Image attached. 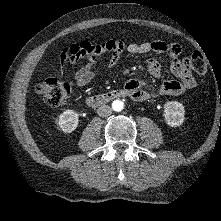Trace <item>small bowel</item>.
<instances>
[{
    "instance_id": "small-bowel-1",
    "label": "small bowel",
    "mask_w": 221,
    "mask_h": 221,
    "mask_svg": "<svg viewBox=\"0 0 221 221\" xmlns=\"http://www.w3.org/2000/svg\"><path fill=\"white\" fill-rule=\"evenodd\" d=\"M75 46L79 49V57L88 58V62L76 72L74 77L76 84L80 87L89 84L96 76L98 73L99 59L103 55L107 54L109 56L108 66L114 67L118 64L124 50L131 54H147L150 52L167 53L171 58L170 70L176 77V80L162 82L154 91L147 89L146 82L131 79L126 82L124 90L132 99L145 101L160 95L176 96L196 86V81L192 76L188 64L180 58L182 48L177 43L156 40L126 45L121 40H107L99 44L83 41L79 44H75ZM146 67L154 78L160 79L161 66L156 59L149 58L146 61Z\"/></svg>"
}]
</instances>
